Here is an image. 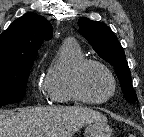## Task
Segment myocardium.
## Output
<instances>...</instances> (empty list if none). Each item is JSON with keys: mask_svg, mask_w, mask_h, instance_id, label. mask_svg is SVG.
Instances as JSON below:
<instances>
[{"mask_svg": "<svg viewBox=\"0 0 144 137\" xmlns=\"http://www.w3.org/2000/svg\"><path fill=\"white\" fill-rule=\"evenodd\" d=\"M98 66L100 67L109 77L112 85L111 92L109 95L102 99H90L87 97L82 89V76L85 70L89 66ZM71 87H72V92L74 95V98L82 103L89 104V105H100L107 103L110 101L116 94L117 91V81L116 78L111 71V69L105 65L103 62L95 59H85L83 62H81L74 70L73 75H72V81H71Z\"/></svg>", "mask_w": 144, "mask_h": 137, "instance_id": "1", "label": "myocardium"}]
</instances>
